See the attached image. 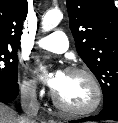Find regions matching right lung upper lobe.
Instances as JSON below:
<instances>
[{
    "instance_id": "cb5924a9",
    "label": "right lung upper lobe",
    "mask_w": 118,
    "mask_h": 123,
    "mask_svg": "<svg viewBox=\"0 0 118 123\" xmlns=\"http://www.w3.org/2000/svg\"><path fill=\"white\" fill-rule=\"evenodd\" d=\"M27 11V0H0V48H18Z\"/></svg>"
}]
</instances>
